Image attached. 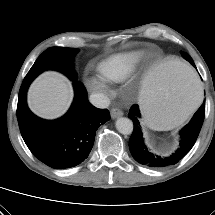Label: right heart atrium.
<instances>
[{
	"label": "right heart atrium",
	"mask_w": 215,
	"mask_h": 215,
	"mask_svg": "<svg viewBox=\"0 0 215 215\" xmlns=\"http://www.w3.org/2000/svg\"><path fill=\"white\" fill-rule=\"evenodd\" d=\"M87 85L101 95H106L108 93L106 81L100 76L89 77L87 79Z\"/></svg>",
	"instance_id": "d8ad5b80"
}]
</instances>
